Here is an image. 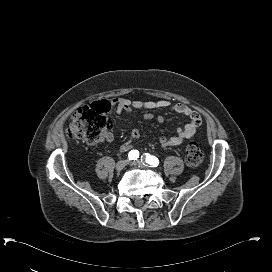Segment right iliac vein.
Returning a JSON list of instances; mask_svg holds the SVG:
<instances>
[{"label": "right iliac vein", "mask_w": 272, "mask_h": 272, "mask_svg": "<svg viewBox=\"0 0 272 272\" xmlns=\"http://www.w3.org/2000/svg\"><path fill=\"white\" fill-rule=\"evenodd\" d=\"M128 163H129V160H127V159H123V160L118 161L116 164V170L122 171L127 166Z\"/></svg>", "instance_id": "obj_1"}]
</instances>
